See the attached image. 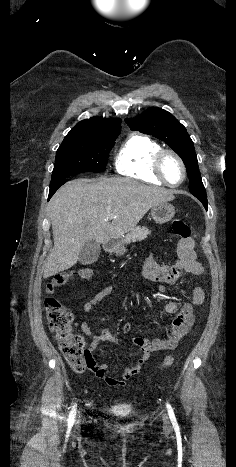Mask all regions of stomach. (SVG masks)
Listing matches in <instances>:
<instances>
[{"mask_svg":"<svg viewBox=\"0 0 236 467\" xmlns=\"http://www.w3.org/2000/svg\"><path fill=\"white\" fill-rule=\"evenodd\" d=\"M175 215V208L168 202H161L153 206L151 216L156 223L163 224L169 222ZM112 251L117 255H123L127 250L122 243H116L112 247Z\"/></svg>","mask_w":236,"mask_h":467,"instance_id":"stomach-1","label":"stomach"}]
</instances>
